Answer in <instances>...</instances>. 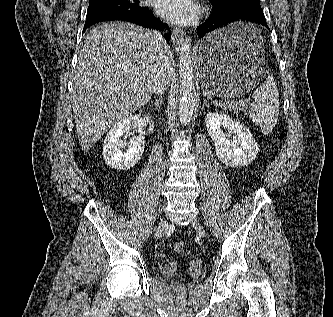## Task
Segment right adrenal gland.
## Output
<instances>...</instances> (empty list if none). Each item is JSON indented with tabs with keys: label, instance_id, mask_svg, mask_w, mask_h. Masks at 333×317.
Returning a JSON list of instances; mask_svg holds the SVG:
<instances>
[{
	"label": "right adrenal gland",
	"instance_id": "right-adrenal-gland-1",
	"mask_svg": "<svg viewBox=\"0 0 333 317\" xmlns=\"http://www.w3.org/2000/svg\"><path fill=\"white\" fill-rule=\"evenodd\" d=\"M149 103L155 105L157 108H160V106L162 105V98L161 96H159L158 98L149 101Z\"/></svg>",
	"mask_w": 333,
	"mask_h": 317
}]
</instances>
